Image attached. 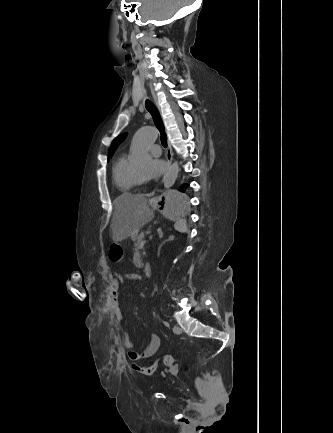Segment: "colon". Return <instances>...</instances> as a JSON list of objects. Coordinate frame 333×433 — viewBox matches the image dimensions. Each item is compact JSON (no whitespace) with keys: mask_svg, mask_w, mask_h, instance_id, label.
I'll use <instances>...</instances> for the list:
<instances>
[{"mask_svg":"<svg viewBox=\"0 0 333 433\" xmlns=\"http://www.w3.org/2000/svg\"><path fill=\"white\" fill-rule=\"evenodd\" d=\"M109 255L111 258V263L113 265H120L122 263V258L125 251L124 244H109L108 246ZM159 363H162L169 368H175L177 367V359L176 357L166 354L161 357H159L157 360H155L152 364L148 366H132L134 370H136L138 373L143 375H152L156 369ZM196 385L198 390L202 395L206 394V382L203 378H197L196 379Z\"/></svg>","mask_w":333,"mask_h":433,"instance_id":"1","label":"colon"}]
</instances>
